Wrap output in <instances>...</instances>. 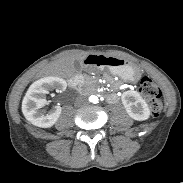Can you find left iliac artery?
I'll return each mask as SVG.
<instances>
[{
  "instance_id": "44dca946",
  "label": "left iliac artery",
  "mask_w": 183,
  "mask_h": 183,
  "mask_svg": "<svg viewBox=\"0 0 183 183\" xmlns=\"http://www.w3.org/2000/svg\"><path fill=\"white\" fill-rule=\"evenodd\" d=\"M94 103H98V99L97 98L94 100Z\"/></svg>"
}]
</instances>
